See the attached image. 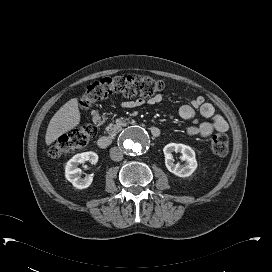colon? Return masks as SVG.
I'll list each match as a JSON object with an SVG mask.
<instances>
[{"label":"colon","instance_id":"5ec220e1","mask_svg":"<svg viewBox=\"0 0 272 272\" xmlns=\"http://www.w3.org/2000/svg\"><path fill=\"white\" fill-rule=\"evenodd\" d=\"M167 84L163 80L149 76H112L105 77L87 86L81 98V108L88 109L93 104L108 98L113 93H123L126 96L151 98L166 91ZM93 125H81L71 132L60 136L50 147L53 157L65 156L85 147L96 135ZM211 150L217 156H225L229 151V138L223 132H218L211 139Z\"/></svg>","mask_w":272,"mask_h":272}]
</instances>
